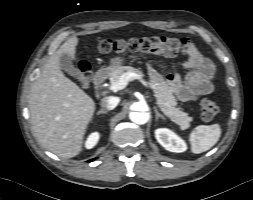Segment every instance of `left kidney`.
Wrapping results in <instances>:
<instances>
[{"instance_id":"left-kidney-1","label":"left kidney","mask_w":253,"mask_h":200,"mask_svg":"<svg viewBox=\"0 0 253 200\" xmlns=\"http://www.w3.org/2000/svg\"><path fill=\"white\" fill-rule=\"evenodd\" d=\"M155 138L161 146L170 152L182 153L187 150L186 142L167 128L155 130Z\"/></svg>"}]
</instances>
